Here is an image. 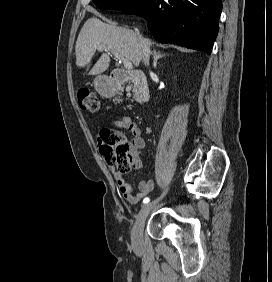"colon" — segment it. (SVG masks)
<instances>
[{
	"label": "colon",
	"mask_w": 272,
	"mask_h": 282,
	"mask_svg": "<svg viewBox=\"0 0 272 282\" xmlns=\"http://www.w3.org/2000/svg\"><path fill=\"white\" fill-rule=\"evenodd\" d=\"M78 105L81 109L98 112L101 104L95 93L89 88H81L77 94ZM100 153L106 163L124 174L130 171L133 160L131 144L118 131L103 128L98 134Z\"/></svg>",
	"instance_id": "obj_1"
}]
</instances>
